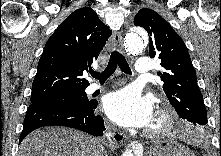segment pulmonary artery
<instances>
[{"label":"pulmonary artery","instance_id":"obj_1","mask_svg":"<svg viewBox=\"0 0 221 156\" xmlns=\"http://www.w3.org/2000/svg\"><path fill=\"white\" fill-rule=\"evenodd\" d=\"M152 66H151V61L148 58L142 57L139 58L136 61L135 64V71L139 75H147L151 72ZM102 85L98 83H93L89 86L88 90L89 92H94L98 89H100Z\"/></svg>","mask_w":221,"mask_h":156}]
</instances>
